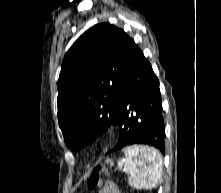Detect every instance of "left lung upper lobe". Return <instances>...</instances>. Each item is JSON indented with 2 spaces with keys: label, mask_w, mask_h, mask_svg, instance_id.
<instances>
[{
  "label": "left lung upper lobe",
  "mask_w": 221,
  "mask_h": 193,
  "mask_svg": "<svg viewBox=\"0 0 221 193\" xmlns=\"http://www.w3.org/2000/svg\"><path fill=\"white\" fill-rule=\"evenodd\" d=\"M138 50L123 30L108 23L88 29L68 50L57 99L67 147L79 150L117 124L120 87ZM152 116V111L144 115L143 126L154 123Z\"/></svg>",
  "instance_id": "5c2ea615"
}]
</instances>
